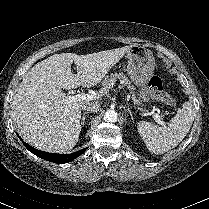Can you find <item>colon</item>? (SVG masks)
<instances>
[{
  "label": "colon",
  "instance_id": "1",
  "mask_svg": "<svg viewBox=\"0 0 209 209\" xmlns=\"http://www.w3.org/2000/svg\"><path fill=\"white\" fill-rule=\"evenodd\" d=\"M149 90L151 96L156 101L162 102L167 106H173L175 104V99L165 91L162 81L159 77L153 76L150 79Z\"/></svg>",
  "mask_w": 209,
  "mask_h": 209
}]
</instances>
